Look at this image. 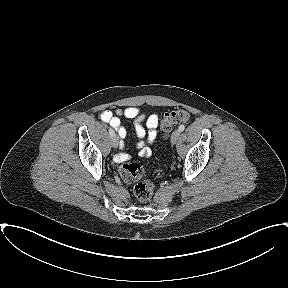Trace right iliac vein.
<instances>
[{
  "mask_svg": "<svg viewBox=\"0 0 288 288\" xmlns=\"http://www.w3.org/2000/svg\"><path fill=\"white\" fill-rule=\"evenodd\" d=\"M119 144V139L118 137L115 135L111 138V145L113 148H117Z\"/></svg>",
  "mask_w": 288,
  "mask_h": 288,
  "instance_id": "right-iliac-vein-1",
  "label": "right iliac vein"
}]
</instances>
